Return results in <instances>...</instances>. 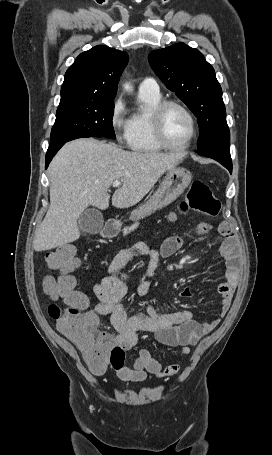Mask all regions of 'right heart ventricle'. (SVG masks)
<instances>
[{"instance_id": "e07e8e85", "label": "right heart ventricle", "mask_w": 272, "mask_h": 455, "mask_svg": "<svg viewBox=\"0 0 272 455\" xmlns=\"http://www.w3.org/2000/svg\"><path fill=\"white\" fill-rule=\"evenodd\" d=\"M139 99L144 104V108L129 118L128 147L132 151L140 153L159 152L162 147L153 136L150 117L153 108L161 101V95L160 93L139 92Z\"/></svg>"}]
</instances>
